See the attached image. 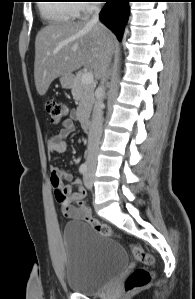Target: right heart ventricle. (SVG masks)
<instances>
[{"mask_svg": "<svg viewBox=\"0 0 195 299\" xmlns=\"http://www.w3.org/2000/svg\"><path fill=\"white\" fill-rule=\"evenodd\" d=\"M41 6V14L50 24H65L71 22L75 16L76 4L71 1H49Z\"/></svg>", "mask_w": 195, "mask_h": 299, "instance_id": "right-heart-ventricle-1", "label": "right heart ventricle"}]
</instances>
